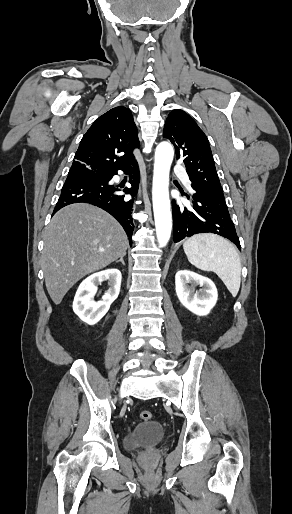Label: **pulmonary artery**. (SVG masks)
I'll use <instances>...</instances> for the list:
<instances>
[{
  "instance_id": "1",
  "label": "pulmonary artery",
  "mask_w": 292,
  "mask_h": 514,
  "mask_svg": "<svg viewBox=\"0 0 292 514\" xmlns=\"http://www.w3.org/2000/svg\"><path fill=\"white\" fill-rule=\"evenodd\" d=\"M184 182L188 187H190L191 181L189 177L186 175V173H184Z\"/></svg>"
}]
</instances>
